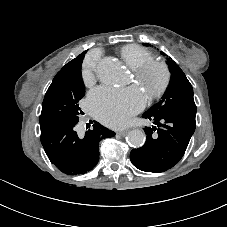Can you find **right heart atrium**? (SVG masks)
I'll return each mask as SVG.
<instances>
[{"label":"right heart atrium","instance_id":"d8ad5b80","mask_svg":"<svg viewBox=\"0 0 227 227\" xmlns=\"http://www.w3.org/2000/svg\"><path fill=\"white\" fill-rule=\"evenodd\" d=\"M99 59L100 53L97 51L91 52L86 56L82 67V80L85 84H88L93 80Z\"/></svg>","mask_w":227,"mask_h":227}]
</instances>
